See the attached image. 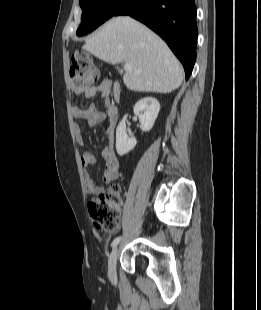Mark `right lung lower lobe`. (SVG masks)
<instances>
[{
    "instance_id": "1",
    "label": "right lung lower lobe",
    "mask_w": 261,
    "mask_h": 310,
    "mask_svg": "<svg viewBox=\"0 0 261 310\" xmlns=\"http://www.w3.org/2000/svg\"><path fill=\"white\" fill-rule=\"evenodd\" d=\"M194 0H128L115 13L130 15L161 36L184 66L189 78L197 43Z\"/></svg>"
}]
</instances>
